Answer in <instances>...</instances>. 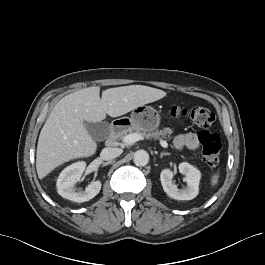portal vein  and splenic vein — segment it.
Masks as SVG:
<instances>
[{"mask_svg": "<svg viewBox=\"0 0 265 265\" xmlns=\"http://www.w3.org/2000/svg\"><path fill=\"white\" fill-rule=\"evenodd\" d=\"M143 139V137L139 134V133H131V134H128L126 135L124 138H123V142L125 144H133L139 140ZM160 145L163 147V148H167L168 147V143L165 141V140H160Z\"/></svg>", "mask_w": 265, "mask_h": 265, "instance_id": "1", "label": "portal vein and splenic vein"}]
</instances>
